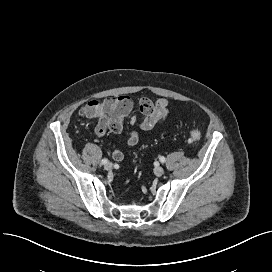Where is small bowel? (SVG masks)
Segmentation results:
<instances>
[{"label":"small bowel","mask_w":272,"mask_h":272,"mask_svg":"<svg viewBox=\"0 0 272 272\" xmlns=\"http://www.w3.org/2000/svg\"><path fill=\"white\" fill-rule=\"evenodd\" d=\"M105 107H110L113 109L121 121H123L130 115L133 104L131 99L125 95L109 97L103 101L93 100L88 102L81 109V115L98 120V134H103L106 131L99 125V115ZM139 110L141 116L136 117L132 115L130 116L129 122L132 126L138 128L139 130L149 131L159 123L163 122L171 113L172 108L166 98H159L156 101H152L149 98H142L139 102ZM120 129L121 125L119 128L114 129V131H120ZM138 141L139 134L137 131L133 130L130 132L126 140V146L133 147L138 143ZM112 157L116 161H121L124 158V153L123 151L116 149L112 152Z\"/></svg>","instance_id":"small-bowel-1"}]
</instances>
